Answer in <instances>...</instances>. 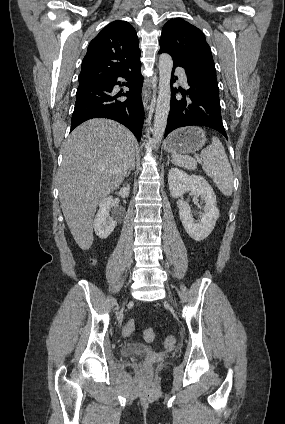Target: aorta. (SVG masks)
I'll use <instances>...</instances> for the list:
<instances>
[{
  "mask_svg": "<svg viewBox=\"0 0 285 424\" xmlns=\"http://www.w3.org/2000/svg\"><path fill=\"white\" fill-rule=\"evenodd\" d=\"M173 67L172 57L163 53L159 57V94L154 117L153 142L159 145L161 142L170 111V80Z\"/></svg>",
  "mask_w": 285,
  "mask_h": 424,
  "instance_id": "obj_1",
  "label": "aorta"
}]
</instances>
